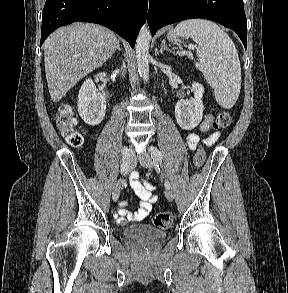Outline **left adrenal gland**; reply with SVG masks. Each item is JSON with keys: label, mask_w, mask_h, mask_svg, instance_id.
Here are the masks:
<instances>
[{"label": "left adrenal gland", "mask_w": 288, "mask_h": 293, "mask_svg": "<svg viewBox=\"0 0 288 293\" xmlns=\"http://www.w3.org/2000/svg\"><path fill=\"white\" fill-rule=\"evenodd\" d=\"M164 51H170L171 53H175V50L169 49V47L166 45L165 40L161 43L160 53L162 54Z\"/></svg>", "instance_id": "a2214340"}]
</instances>
